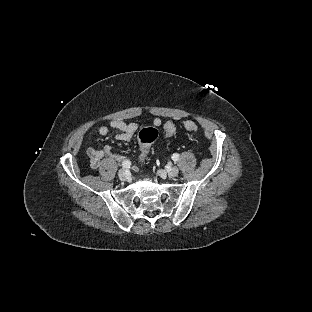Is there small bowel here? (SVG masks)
Here are the masks:
<instances>
[{
  "label": "small bowel",
  "mask_w": 312,
  "mask_h": 312,
  "mask_svg": "<svg viewBox=\"0 0 312 312\" xmlns=\"http://www.w3.org/2000/svg\"><path fill=\"white\" fill-rule=\"evenodd\" d=\"M161 120L155 118L153 124L155 126L161 125ZM138 124L136 122L126 123L122 120H114L109 125H102L98 128L97 133L100 136H107L112 134L115 139L120 141H129L138 131ZM86 153L90 159V165L93 169L100 166L101 160L104 157H110L116 160H121L123 157L117 154L111 146H104L98 150L89 145H86Z\"/></svg>",
  "instance_id": "1"
}]
</instances>
